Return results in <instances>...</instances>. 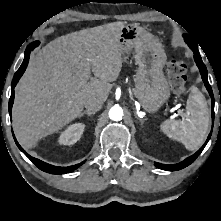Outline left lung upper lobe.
<instances>
[{
	"instance_id": "1",
	"label": "left lung upper lobe",
	"mask_w": 221,
	"mask_h": 221,
	"mask_svg": "<svg viewBox=\"0 0 221 221\" xmlns=\"http://www.w3.org/2000/svg\"><path fill=\"white\" fill-rule=\"evenodd\" d=\"M184 38H185L186 43L189 45V47H190L193 51L199 52V51H198V45H197L196 42L193 40V38H191V37H190L189 35H187V34H184Z\"/></svg>"
}]
</instances>
